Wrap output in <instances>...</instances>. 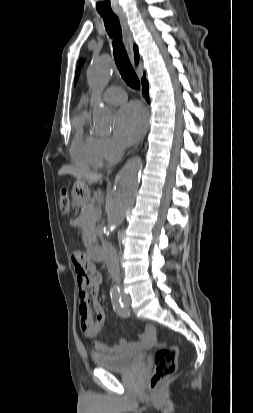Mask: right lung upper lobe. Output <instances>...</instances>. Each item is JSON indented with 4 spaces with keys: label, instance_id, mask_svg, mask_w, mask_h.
<instances>
[{
    "label": "right lung upper lobe",
    "instance_id": "1",
    "mask_svg": "<svg viewBox=\"0 0 253 413\" xmlns=\"http://www.w3.org/2000/svg\"><path fill=\"white\" fill-rule=\"evenodd\" d=\"M134 49H135V61H136V63H137V62H138V51H137V47L135 46Z\"/></svg>",
    "mask_w": 253,
    "mask_h": 413
}]
</instances>
